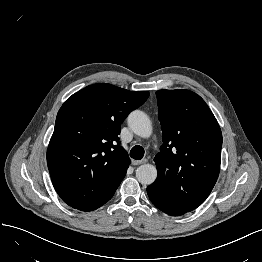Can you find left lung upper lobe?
<instances>
[{
  "mask_svg": "<svg viewBox=\"0 0 262 262\" xmlns=\"http://www.w3.org/2000/svg\"><path fill=\"white\" fill-rule=\"evenodd\" d=\"M163 145L149 187L171 207L189 212L212 191L220 171L222 133L205 101L189 90H159Z\"/></svg>",
  "mask_w": 262,
  "mask_h": 262,
  "instance_id": "5c2ea615",
  "label": "left lung upper lobe"
}]
</instances>
